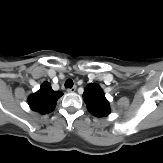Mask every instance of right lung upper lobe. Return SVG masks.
Segmentation results:
<instances>
[{"label":"right lung upper lobe","mask_w":163,"mask_h":163,"mask_svg":"<svg viewBox=\"0 0 163 163\" xmlns=\"http://www.w3.org/2000/svg\"><path fill=\"white\" fill-rule=\"evenodd\" d=\"M62 95L61 91H53L50 84L45 82L36 93L29 97L28 103L32 110L47 114L55 109L56 102Z\"/></svg>","instance_id":"right-lung-upper-lobe-1"}]
</instances>
